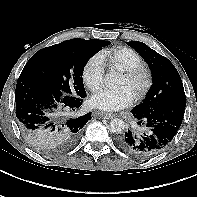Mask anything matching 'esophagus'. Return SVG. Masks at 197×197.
<instances>
[{
    "instance_id": "34e87169",
    "label": "esophagus",
    "mask_w": 197,
    "mask_h": 197,
    "mask_svg": "<svg viewBox=\"0 0 197 197\" xmlns=\"http://www.w3.org/2000/svg\"><path fill=\"white\" fill-rule=\"evenodd\" d=\"M98 115L102 118H105V119H111L113 117H115V114L113 113H98Z\"/></svg>"
}]
</instances>
